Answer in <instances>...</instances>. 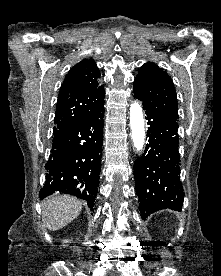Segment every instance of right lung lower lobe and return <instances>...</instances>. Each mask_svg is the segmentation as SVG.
I'll return each mask as SVG.
<instances>
[{
	"label": "right lung lower lobe",
	"mask_w": 221,
	"mask_h": 276,
	"mask_svg": "<svg viewBox=\"0 0 221 276\" xmlns=\"http://www.w3.org/2000/svg\"><path fill=\"white\" fill-rule=\"evenodd\" d=\"M104 104L83 122L54 132L40 198L68 193L95 205L101 169Z\"/></svg>",
	"instance_id": "right-lung-lower-lobe-1"
}]
</instances>
